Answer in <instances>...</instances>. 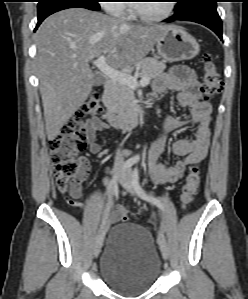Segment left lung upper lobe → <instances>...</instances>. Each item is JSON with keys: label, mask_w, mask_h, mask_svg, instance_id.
I'll use <instances>...</instances> for the list:
<instances>
[{"label": "left lung upper lobe", "mask_w": 248, "mask_h": 299, "mask_svg": "<svg viewBox=\"0 0 248 299\" xmlns=\"http://www.w3.org/2000/svg\"><path fill=\"white\" fill-rule=\"evenodd\" d=\"M217 0H179L178 5L181 10L187 11L190 7L198 6L204 3H216Z\"/></svg>", "instance_id": "5c2ea615"}]
</instances>
